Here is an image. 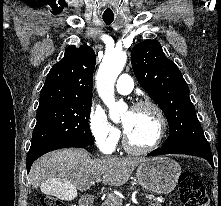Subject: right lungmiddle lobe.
Returning a JSON list of instances; mask_svg holds the SVG:
<instances>
[{
    "instance_id": "1",
    "label": "right lung middle lobe",
    "mask_w": 221,
    "mask_h": 206,
    "mask_svg": "<svg viewBox=\"0 0 221 206\" xmlns=\"http://www.w3.org/2000/svg\"><path fill=\"white\" fill-rule=\"evenodd\" d=\"M92 103L52 105L37 109L30 151L64 143L94 144L89 127Z\"/></svg>"
}]
</instances>
